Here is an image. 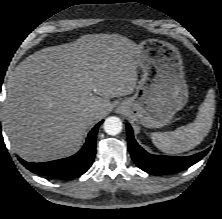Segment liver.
Listing matches in <instances>:
<instances>
[{
  "label": "liver",
  "mask_w": 222,
  "mask_h": 219,
  "mask_svg": "<svg viewBox=\"0 0 222 219\" xmlns=\"http://www.w3.org/2000/svg\"><path fill=\"white\" fill-rule=\"evenodd\" d=\"M137 50L121 35L88 34L20 62L8 78L4 105L13 150L28 162L76 153L89 125L111 110L110 98L134 92Z\"/></svg>",
  "instance_id": "obj_1"
}]
</instances>
